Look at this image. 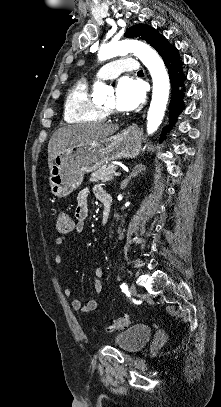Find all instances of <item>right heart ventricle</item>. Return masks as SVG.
Segmentation results:
<instances>
[{
  "instance_id": "e07e8e85",
  "label": "right heart ventricle",
  "mask_w": 221,
  "mask_h": 407,
  "mask_svg": "<svg viewBox=\"0 0 221 407\" xmlns=\"http://www.w3.org/2000/svg\"><path fill=\"white\" fill-rule=\"evenodd\" d=\"M106 117L102 106L96 103L85 79H79L68 90L64 104V119L67 122H100Z\"/></svg>"
}]
</instances>
